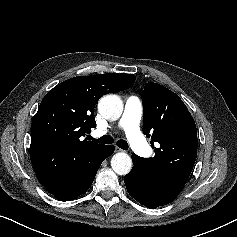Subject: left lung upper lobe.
<instances>
[{"label": "left lung upper lobe", "instance_id": "left-lung-upper-lobe-1", "mask_svg": "<svg viewBox=\"0 0 237 237\" xmlns=\"http://www.w3.org/2000/svg\"><path fill=\"white\" fill-rule=\"evenodd\" d=\"M142 100L143 132L152 134L151 144H160L154 157H140L142 172L162 184L183 186L197 157L194 119L180 97L160 84L147 83Z\"/></svg>", "mask_w": 237, "mask_h": 237}]
</instances>
